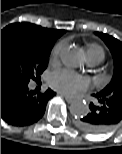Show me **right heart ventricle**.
<instances>
[{
	"label": "right heart ventricle",
	"instance_id": "right-heart-ventricle-1",
	"mask_svg": "<svg viewBox=\"0 0 122 154\" xmlns=\"http://www.w3.org/2000/svg\"><path fill=\"white\" fill-rule=\"evenodd\" d=\"M87 59L94 58L102 61L104 59V50L97 44H90L86 47Z\"/></svg>",
	"mask_w": 122,
	"mask_h": 154
}]
</instances>
